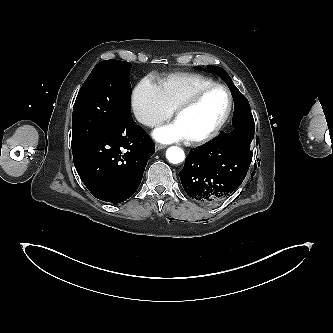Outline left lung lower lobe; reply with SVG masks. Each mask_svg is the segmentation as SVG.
Segmentation results:
<instances>
[{
  "mask_svg": "<svg viewBox=\"0 0 333 333\" xmlns=\"http://www.w3.org/2000/svg\"><path fill=\"white\" fill-rule=\"evenodd\" d=\"M249 144L250 138L244 133L222 132L210 143L190 151L179 173L186 193L208 205L227 198L246 177L252 161Z\"/></svg>",
  "mask_w": 333,
  "mask_h": 333,
  "instance_id": "obj_1",
  "label": "left lung lower lobe"
}]
</instances>
